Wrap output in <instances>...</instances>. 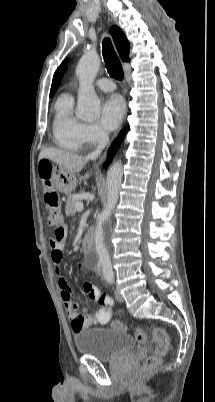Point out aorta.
I'll list each match as a JSON object with an SVG mask.
<instances>
[{"instance_id": "1", "label": "aorta", "mask_w": 215, "mask_h": 402, "mask_svg": "<svg viewBox=\"0 0 215 402\" xmlns=\"http://www.w3.org/2000/svg\"><path fill=\"white\" fill-rule=\"evenodd\" d=\"M99 67L100 59L98 55L95 53H86L81 57L76 68V75L79 79L76 115L85 121H93L100 116V100L93 86ZM122 176V162L116 161L107 173V202L99 216L95 230V247L91 260L101 265L105 278H113L114 276L105 222L111 216L118 202Z\"/></svg>"}]
</instances>
